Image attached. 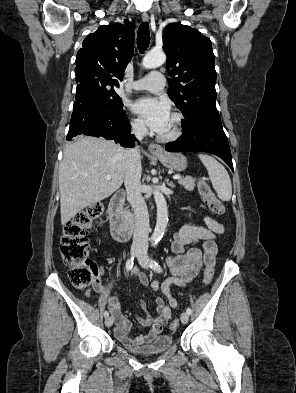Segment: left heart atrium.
Segmentation results:
<instances>
[{"label":"left heart atrium","instance_id":"obj_1","mask_svg":"<svg viewBox=\"0 0 296 393\" xmlns=\"http://www.w3.org/2000/svg\"><path fill=\"white\" fill-rule=\"evenodd\" d=\"M132 110L157 133L164 129L171 116L167 102L151 97H143L135 101Z\"/></svg>","mask_w":296,"mask_h":393}]
</instances>
